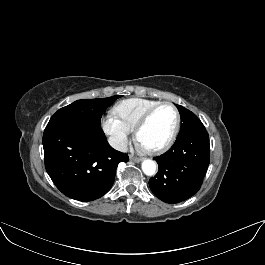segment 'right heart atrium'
I'll return each mask as SVG.
<instances>
[{
	"mask_svg": "<svg viewBox=\"0 0 265 265\" xmlns=\"http://www.w3.org/2000/svg\"><path fill=\"white\" fill-rule=\"evenodd\" d=\"M102 127L104 132L109 136L114 148L120 151L126 149L132 132L131 129L121 122L113 113H108L103 117Z\"/></svg>",
	"mask_w": 265,
	"mask_h": 265,
	"instance_id": "1",
	"label": "right heart atrium"
}]
</instances>
